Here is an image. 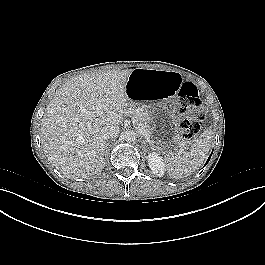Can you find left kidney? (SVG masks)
<instances>
[{"label":"left kidney","mask_w":265,"mask_h":265,"mask_svg":"<svg viewBox=\"0 0 265 265\" xmlns=\"http://www.w3.org/2000/svg\"><path fill=\"white\" fill-rule=\"evenodd\" d=\"M147 160L152 172L157 176L162 177L165 171V164L162 158L156 152H152L148 155Z\"/></svg>","instance_id":"left-kidney-1"}]
</instances>
